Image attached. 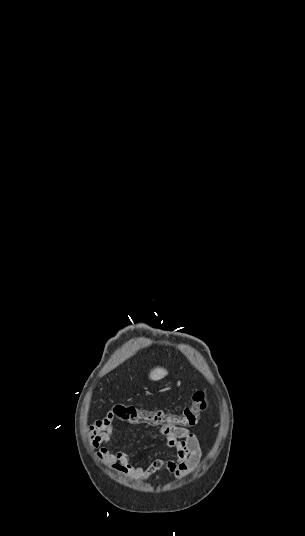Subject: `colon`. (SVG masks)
Listing matches in <instances>:
<instances>
[{
  "label": "colon",
  "instance_id": "obj_1",
  "mask_svg": "<svg viewBox=\"0 0 305 536\" xmlns=\"http://www.w3.org/2000/svg\"><path fill=\"white\" fill-rule=\"evenodd\" d=\"M207 403L206 392L204 390H198L194 394L193 402L185 407L180 415H173L166 412L156 414L154 411H147L133 404L116 406L115 415L118 417V422L144 421L172 427H194L197 424L199 415L206 410Z\"/></svg>",
  "mask_w": 305,
  "mask_h": 536
}]
</instances>
